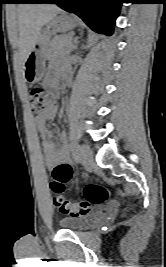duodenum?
Instances as JSON below:
<instances>
[{"instance_id":"410a0bca","label":"duodenum","mask_w":166,"mask_h":267,"mask_svg":"<svg viewBox=\"0 0 166 267\" xmlns=\"http://www.w3.org/2000/svg\"><path fill=\"white\" fill-rule=\"evenodd\" d=\"M65 79H66V80H69V74H67V75L65 76Z\"/></svg>"}]
</instances>
